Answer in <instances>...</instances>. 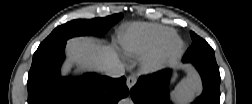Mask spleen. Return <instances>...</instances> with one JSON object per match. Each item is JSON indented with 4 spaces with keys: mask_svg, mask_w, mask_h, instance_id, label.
I'll return each mask as SVG.
<instances>
[{
    "mask_svg": "<svg viewBox=\"0 0 252 104\" xmlns=\"http://www.w3.org/2000/svg\"><path fill=\"white\" fill-rule=\"evenodd\" d=\"M198 91V81L194 75L189 76L185 83H183L177 90V94L181 98H189Z\"/></svg>",
    "mask_w": 252,
    "mask_h": 104,
    "instance_id": "1",
    "label": "spleen"
}]
</instances>
